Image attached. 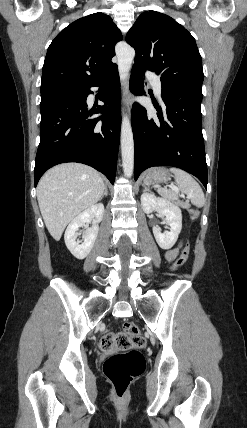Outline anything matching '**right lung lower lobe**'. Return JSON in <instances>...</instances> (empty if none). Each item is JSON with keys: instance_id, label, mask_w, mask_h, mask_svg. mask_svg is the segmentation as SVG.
<instances>
[{"instance_id": "right-lung-lower-lobe-1", "label": "right lung lower lobe", "mask_w": 247, "mask_h": 428, "mask_svg": "<svg viewBox=\"0 0 247 428\" xmlns=\"http://www.w3.org/2000/svg\"><path fill=\"white\" fill-rule=\"evenodd\" d=\"M93 86L104 87L105 104L88 111L86 99ZM120 83L117 66L83 89L82 93L41 99L40 144L34 180L63 162L84 163L102 172L113 184L120 140ZM104 116L88 119L93 113Z\"/></svg>"}]
</instances>
